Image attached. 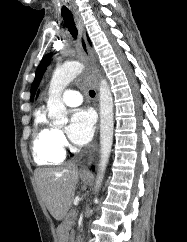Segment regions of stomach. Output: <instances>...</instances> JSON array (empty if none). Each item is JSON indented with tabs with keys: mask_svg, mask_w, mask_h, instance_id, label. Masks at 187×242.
<instances>
[{
	"mask_svg": "<svg viewBox=\"0 0 187 242\" xmlns=\"http://www.w3.org/2000/svg\"><path fill=\"white\" fill-rule=\"evenodd\" d=\"M80 177L85 183L90 182L89 176L81 174ZM57 236H58V242H68L69 241V232L65 225L61 224L58 226Z\"/></svg>",
	"mask_w": 187,
	"mask_h": 242,
	"instance_id": "stomach-1",
	"label": "stomach"
}]
</instances>
